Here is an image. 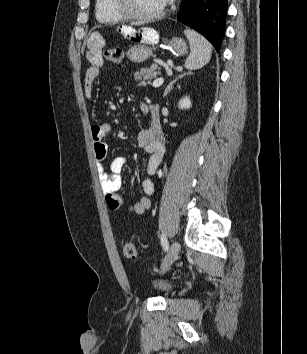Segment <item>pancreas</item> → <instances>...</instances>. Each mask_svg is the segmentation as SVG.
Returning a JSON list of instances; mask_svg holds the SVG:
<instances>
[{
	"instance_id": "obj_1",
	"label": "pancreas",
	"mask_w": 307,
	"mask_h": 354,
	"mask_svg": "<svg viewBox=\"0 0 307 354\" xmlns=\"http://www.w3.org/2000/svg\"><path fill=\"white\" fill-rule=\"evenodd\" d=\"M158 75H161V68L158 65L153 64L150 68H142L139 72H136L134 78L139 82V85H146L150 83Z\"/></svg>"
}]
</instances>
